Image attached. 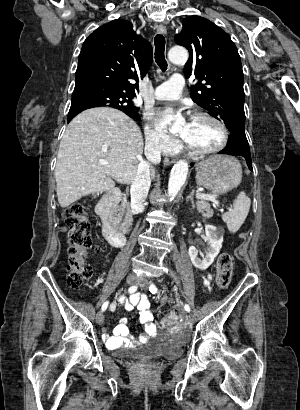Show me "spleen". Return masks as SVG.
I'll return each mask as SVG.
<instances>
[{
    "label": "spleen",
    "mask_w": 300,
    "mask_h": 410,
    "mask_svg": "<svg viewBox=\"0 0 300 410\" xmlns=\"http://www.w3.org/2000/svg\"><path fill=\"white\" fill-rule=\"evenodd\" d=\"M250 204V198L244 192H241L234 200L233 210L222 215V220L227 224V228L231 233H236L243 224L248 215Z\"/></svg>",
    "instance_id": "obj_1"
}]
</instances>
